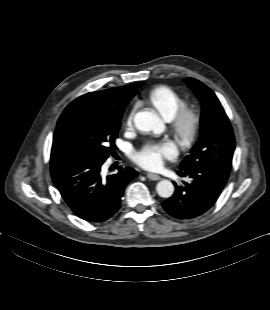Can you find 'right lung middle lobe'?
<instances>
[{
  "label": "right lung middle lobe",
  "instance_id": "dd1d6c3e",
  "mask_svg": "<svg viewBox=\"0 0 270 310\" xmlns=\"http://www.w3.org/2000/svg\"><path fill=\"white\" fill-rule=\"evenodd\" d=\"M120 120L94 99H76L58 120L51 156L104 162L117 149Z\"/></svg>",
  "mask_w": 270,
  "mask_h": 310
}]
</instances>
